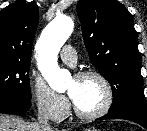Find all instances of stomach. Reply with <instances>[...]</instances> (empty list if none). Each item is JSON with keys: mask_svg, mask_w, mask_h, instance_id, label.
<instances>
[{"mask_svg": "<svg viewBox=\"0 0 147 131\" xmlns=\"http://www.w3.org/2000/svg\"><path fill=\"white\" fill-rule=\"evenodd\" d=\"M83 131H99L95 128H84Z\"/></svg>", "mask_w": 147, "mask_h": 131, "instance_id": "stomach-1", "label": "stomach"}]
</instances>
